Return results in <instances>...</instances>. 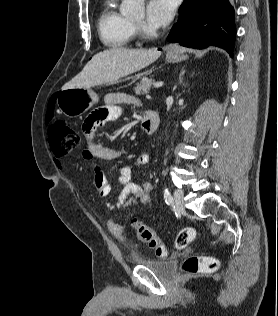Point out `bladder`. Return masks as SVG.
I'll return each instance as SVG.
<instances>
[{"instance_id":"bladder-1","label":"bladder","mask_w":278,"mask_h":316,"mask_svg":"<svg viewBox=\"0 0 278 316\" xmlns=\"http://www.w3.org/2000/svg\"><path fill=\"white\" fill-rule=\"evenodd\" d=\"M133 263L137 266L145 267L160 277H169L175 270L173 260H155L147 258H134Z\"/></svg>"}]
</instances>
